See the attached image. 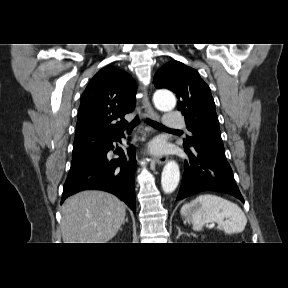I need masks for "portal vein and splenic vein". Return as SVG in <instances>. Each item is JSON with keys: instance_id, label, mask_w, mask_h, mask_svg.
<instances>
[{"instance_id": "obj_1", "label": "portal vein and splenic vein", "mask_w": 288, "mask_h": 288, "mask_svg": "<svg viewBox=\"0 0 288 288\" xmlns=\"http://www.w3.org/2000/svg\"><path fill=\"white\" fill-rule=\"evenodd\" d=\"M215 226L214 223L207 225L208 228H213Z\"/></svg>"}]
</instances>
